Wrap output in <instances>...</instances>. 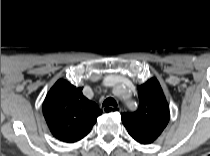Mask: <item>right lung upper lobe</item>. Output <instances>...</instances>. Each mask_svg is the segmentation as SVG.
Returning <instances> with one entry per match:
<instances>
[{
  "instance_id": "right-lung-upper-lobe-1",
  "label": "right lung upper lobe",
  "mask_w": 210,
  "mask_h": 156,
  "mask_svg": "<svg viewBox=\"0 0 210 156\" xmlns=\"http://www.w3.org/2000/svg\"><path fill=\"white\" fill-rule=\"evenodd\" d=\"M102 111L68 81L60 79L48 92L43 114L53 136L63 142H76L86 136Z\"/></svg>"
}]
</instances>
